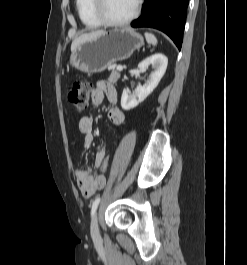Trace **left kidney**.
Masks as SVG:
<instances>
[{"label":"left kidney","instance_id":"5707ae66","mask_svg":"<svg viewBox=\"0 0 247 265\" xmlns=\"http://www.w3.org/2000/svg\"><path fill=\"white\" fill-rule=\"evenodd\" d=\"M167 64L168 59L162 53L154 54L139 63L138 68L141 71H145L150 65H152L154 72L151 73L147 83L143 86L139 85L136 87L133 94L129 95L126 89L123 90L121 97L122 109L128 111L144 101L159 84L161 78L165 74Z\"/></svg>","mask_w":247,"mask_h":265}]
</instances>
